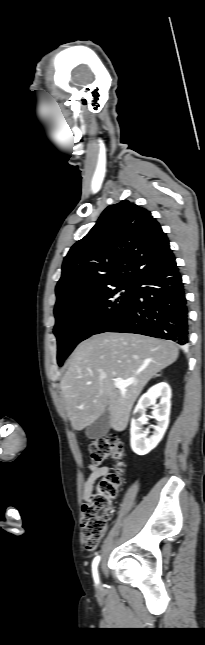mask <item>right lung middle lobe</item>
<instances>
[{
  "mask_svg": "<svg viewBox=\"0 0 205 645\" xmlns=\"http://www.w3.org/2000/svg\"><path fill=\"white\" fill-rule=\"evenodd\" d=\"M123 289L125 293L121 292ZM133 297V284L120 285L82 297L56 313L54 334L58 342L59 366L78 343L112 325L132 303Z\"/></svg>",
  "mask_w": 205,
  "mask_h": 645,
  "instance_id": "dd1d6c3e",
  "label": "right lung middle lobe"
}]
</instances>
